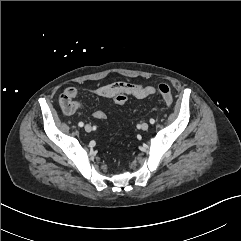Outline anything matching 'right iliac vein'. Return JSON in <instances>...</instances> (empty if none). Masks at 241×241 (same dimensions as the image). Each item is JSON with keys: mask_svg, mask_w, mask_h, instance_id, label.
I'll return each mask as SVG.
<instances>
[{"mask_svg": "<svg viewBox=\"0 0 241 241\" xmlns=\"http://www.w3.org/2000/svg\"><path fill=\"white\" fill-rule=\"evenodd\" d=\"M84 129H85L86 132H90L92 130V127L89 124H86L84 126Z\"/></svg>", "mask_w": 241, "mask_h": 241, "instance_id": "63e3f726", "label": "right iliac vein"}]
</instances>
